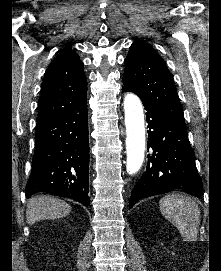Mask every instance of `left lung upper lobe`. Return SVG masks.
Listing matches in <instances>:
<instances>
[{
	"instance_id": "5c2ea615",
	"label": "left lung upper lobe",
	"mask_w": 221,
	"mask_h": 271,
	"mask_svg": "<svg viewBox=\"0 0 221 271\" xmlns=\"http://www.w3.org/2000/svg\"><path fill=\"white\" fill-rule=\"evenodd\" d=\"M124 88L162 115L185 125L173 77L161 56L146 42L136 40L125 59Z\"/></svg>"
}]
</instances>
